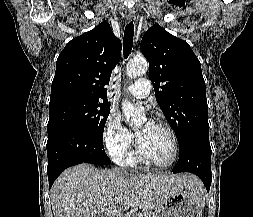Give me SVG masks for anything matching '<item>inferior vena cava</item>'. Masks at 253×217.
<instances>
[{"label":"inferior vena cava","mask_w":253,"mask_h":217,"mask_svg":"<svg viewBox=\"0 0 253 217\" xmlns=\"http://www.w3.org/2000/svg\"><path fill=\"white\" fill-rule=\"evenodd\" d=\"M113 170L120 171V172H126L124 169H120V168H114Z\"/></svg>","instance_id":"1"}]
</instances>
